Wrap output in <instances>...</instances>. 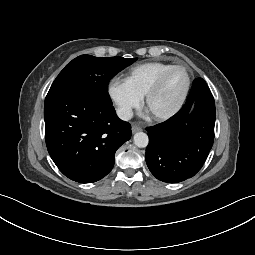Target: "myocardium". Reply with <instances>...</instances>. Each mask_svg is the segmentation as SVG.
<instances>
[{
	"label": "myocardium",
	"mask_w": 255,
	"mask_h": 255,
	"mask_svg": "<svg viewBox=\"0 0 255 255\" xmlns=\"http://www.w3.org/2000/svg\"><path fill=\"white\" fill-rule=\"evenodd\" d=\"M176 69H183L186 72V74H187L186 87H185L184 92H183L182 96L180 97L179 101L176 103V105L172 109H170L169 111H167L165 113H160V114L152 113L154 118L157 120H167V119L173 117L174 115H176L180 111V109L183 107V105L185 104V102L188 98V95H189V92L191 89V84H192L191 73H190L189 69L184 65H173L172 67L167 69L165 72H163L158 77V79L155 81V83L151 86V88L147 91V93L145 95V104H146L147 108L149 109V105H150L152 98L161 90V88L164 85V82L166 81V79L170 75V73Z\"/></svg>",
	"instance_id": "f54148a6"
}]
</instances>
